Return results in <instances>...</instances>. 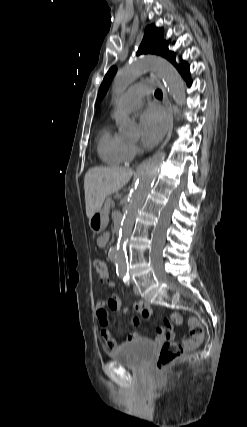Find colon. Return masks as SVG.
Returning <instances> with one entry per match:
<instances>
[{"instance_id":"colon-1","label":"colon","mask_w":247,"mask_h":427,"mask_svg":"<svg viewBox=\"0 0 247 427\" xmlns=\"http://www.w3.org/2000/svg\"><path fill=\"white\" fill-rule=\"evenodd\" d=\"M94 268L102 281H107L109 277L108 265L103 260H95ZM190 336L184 342H166L155 362V369L161 371L178 360L182 359L188 351L198 348L202 341L203 328L194 318L188 320Z\"/></svg>"}]
</instances>
